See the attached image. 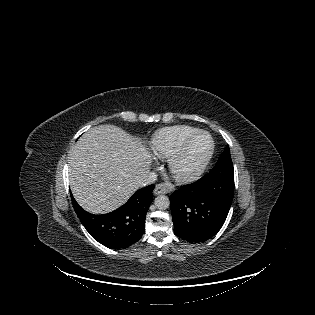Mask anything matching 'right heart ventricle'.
I'll list each match as a JSON object with an SVG mask.
<instances>
[{"label": "right heart ventricle", "mask_w": 315, "mask_h": 315, "mask_svg": "<svg viewBox=\"0 0 315 315\" xmlns=\"http://www.w3.org/2000/svg\"><path fill=\"white\" fill-rule=\"evenodd\" d=\"M197 128L188 125H175L162 128L154 133L149 146L154 156L163 159L170 157Z\"/></svg>", "instance_id": "right-heart-ventricle-1"}]
</instances>
